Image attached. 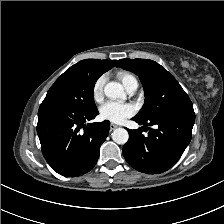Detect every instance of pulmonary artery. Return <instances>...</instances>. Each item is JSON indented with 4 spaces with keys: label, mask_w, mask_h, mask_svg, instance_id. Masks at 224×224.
<instances>
[{
    "label": "pulmonary artery",
    "mask_w": 224,
    "mask_h": 224,
    "mask_svg": "<svg viewBox=\"0 0 224 224\" xmlns=\"http://www.w3.org/2000/svg\"><path fill=\"white\" fill-rule=\"evenodd\" d=\"M138 88L137 80H133L127 87L126 90L129 94H134Z\"/></svg>",
    "instance_id": "e3ab8cb5"
}]
</instances>
